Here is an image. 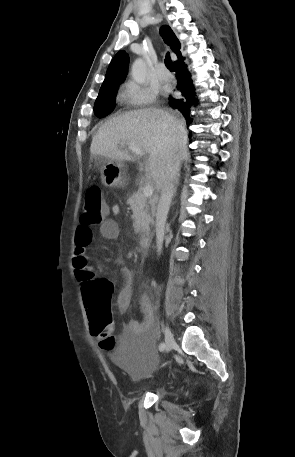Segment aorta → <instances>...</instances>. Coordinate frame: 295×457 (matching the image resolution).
I'll list each match as a JSON object with an SVG mask.
<instances>
[{
    "label": "aorta",
    "instance_id": "762f6f07",
    "mask_svg": "<svg viewBox=\"0 0 295 457\" xmlns=\"http://www.w3.org/2000/svg\"><path fill=\"white\" fill-rule=\"evenodd\" d=\"M146 72V63L143 59L137 58L131 68V76L133 80L138 84H144L146 80Z\"/></svg>",
    "mask_w": 295,
    "mask_h": 457
}]
</instances>
